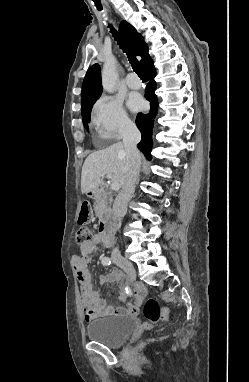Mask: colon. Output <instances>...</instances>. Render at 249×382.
I'll return each instance as SVG.
<instances>
[{"label":"colon","instance_id":"obj_1","mask_svg":"<svg viewBox=\"0 0 249 382\" xmlns=\"http://www.w3.org/2000/svg\"><path fill=\"white\" fill-rule=\"evenodd\" d=\"M91 217V208L88 202H84L81 205L79 213V223L81 227L76 232V242L79 245H83L90 240L91 232L87 227V223ZM169 311L167 309H161L157 300L153 297H149L143 304V314L146 318V322L143 324L145 329L150 328L152 325L157 324L160 320H166L168 318Z\"/></svg>","mask_w":249,"mask_h":382}]
</instances>
